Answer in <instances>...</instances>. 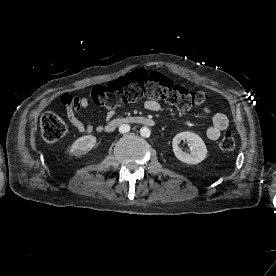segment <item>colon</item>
<instances>
[{"instance_id": "5ec220e1", "label": "colon", "mask_w": 276, "mask_h": 276, "mask_svg": "<svg viewBox=\"0 0 276 276\" xmlns=\"http://www.w3.org/2000/svg\"><path fill=\"white\" fill-rule=\"evenodd\" d=\"M89 96L95 104L105 107H116L147 98L161 99L180 109H187L208 100L205 92L189 90L169 77L147 69H137L115 82L95 86ZM40 126L42 136L47 142L60 140L67 130L64 121L54 113L43 114ZM219 146L225 152L235 148V137L231 131L224 133Z\"/></svg>"}]
</instances>
